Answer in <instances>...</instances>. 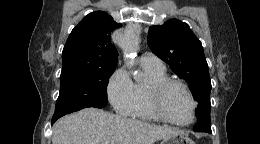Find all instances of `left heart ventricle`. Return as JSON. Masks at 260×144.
Masks as SVG:
<instances>
[{"instance_id":"obj_1","label":"left heart ventricle","mask_w":260,"mask_h":144,"mask_svg":"<svg viewBox=\"0 0 260 144\" xmlns=\"http://www.w3.org/2000/svg\"><path fill=\"white\" fill-rule=\"evenodd\" d=\"M167 116L177 122H187L191 118L192 104L180 87L169 89L162 101Z\"/></svg>"}]
</instances>
